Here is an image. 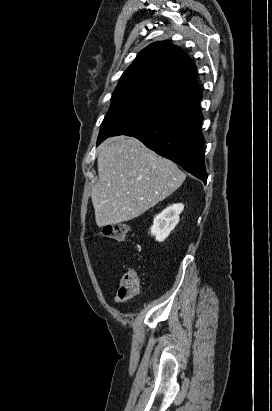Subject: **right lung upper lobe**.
Here are the masks:
<instances>
[{"label":"right lung upper lobe","mask_w":272,"mask_h":411,"mask_svg":"<svg viewBox=\"0 0 272 411\" xmlns=\"http://www.w3.org/2000/svg\"><path fill=\"white\" fill-rule=\"evenodd\" d=\"M143 91L186 106L201 99L196 66L178 47L155 42L144 48L122 74L114 92Z\"/></svg>","instance_id":"1"}]
</instances>
